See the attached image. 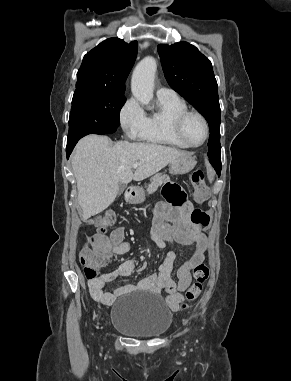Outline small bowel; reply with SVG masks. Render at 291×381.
<instances>
[{
	"label": "small bowel",
	"mask_w": 291,
	"mask_h": 381,
	"mask_svg": "<svg viewBox=\"0 0 291 381\" xmlns=\"http://www.w3.org/2000/svg\"><path fill=\"white\" fill-rule=\"evenodd\" d=\"M181 199L179 204L170 201V196ZM169 203H159L154 210L151 239L159 249H165L168 243L193 245L192 255L178 268V281L171 277L176 254L167 253L166 258L157 273L140 280L137 284L117 287L113 292L104 291L105 284L119 277L130 275L135 267L134 259L125 260L118 269L103 273L88 280L91 297L96 302L109 306L116 297L134 291H149L155 294L166 293L167 306L177 311L183 300V293L191 284V272L203 262L208 241L205 235L194 229L190 224L192 206L184 199L180 189L169 187L166 190ZM86 246L96 251H105L110 255H123L131 249V243L125 240L123 227L115 228L110 235L92 234L87 237Z\"/></svg>",
	"instance_id": "1"
}]
</instances>
